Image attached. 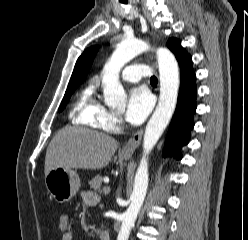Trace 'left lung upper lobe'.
I'll use <instances>...</instances> for the list:
<instances>
[{"label":"left lung upper lobe","instance_id":"1","mask_svg":"<svg viewBox=\"0 0 248 240\" xmlns=\"http://www.w3.org/2000/svg\"><path fill=\"white\" fill-rule=\"evenodd\" d=\"M167 47L174 53L178 63L189 55L186 49L181 46V41L176 38H170L167 42Z\"/></svg>","mask_w":248,"mask_h":240}]
</instances>
